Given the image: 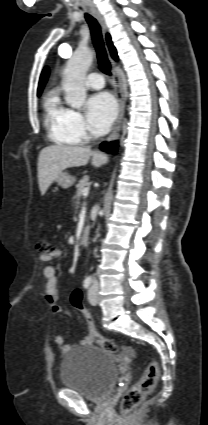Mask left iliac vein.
Returning a JSON list of instances; mask_svg holds the SVG:
<instances>
[{
    "label": "left iliac vein",
    "instance_id": "left-iliac-vein-1",
    "mask_svg": "<svg viewBox=\"0 0 208 425\" xmlns=\"http://www.w3.org/2000/svg\"><path fill=\"white\" fill-rule=\"evenodd\" d=\"M98 289L99 284L97 282L93 283L88 292V299L90 304L97 305L98 303Z\"/></svg>",
    "mask_w": 208,
    "mask_h": 425
}]
</instances>
